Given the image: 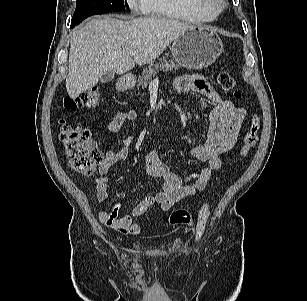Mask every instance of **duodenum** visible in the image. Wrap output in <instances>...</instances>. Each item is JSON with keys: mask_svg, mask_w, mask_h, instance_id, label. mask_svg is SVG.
<instances>
[{"mask_svg": "<svg viewBox=\"0 0 307 301\" xmlns=\"http://www.w3.org/2000/svg\"><path fill=\"white\" fill-rule=\"evenodd\" d=\"M131 83H132V80H128V81H127V85H128V86H130Z\"/></svg>", "mask_w": 307, "mask_h": 301, "instance_id": "410a0bca", "label": "duodenum"}]
</instances>
